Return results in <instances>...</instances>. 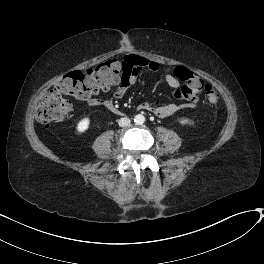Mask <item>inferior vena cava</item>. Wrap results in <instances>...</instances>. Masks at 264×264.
I'll use <instances>...</instances> for the list:
<instances>
[{
  "instance_id": "inferior-vena-cava-1",
  "label": "inferior vena cava",
  "mask_w": 264,
  "mask_h": 264,
  "mask_svg": "<svg viewBox=\"0 0 264 264\" xmlns=\"http://www.w3.org/2000/svg\"><path fill=\"white\" fill-rule=\"evenodd\" d=\"M130 123H131V121L127 117H123V118H120L118 120V124H119L120 127H127V126L130 125Z\"/></svg>"
}]
</instances>
